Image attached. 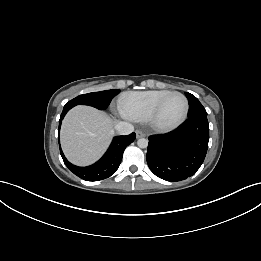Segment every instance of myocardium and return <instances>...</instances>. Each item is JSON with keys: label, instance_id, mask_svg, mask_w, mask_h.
Wrapping results in <instances>:
<instances>
[{"label": "myocardium", "instance_id": "f54148a6", "mask_svg": "<svg viewBox=\"0 0 261 261\" xmlns=\"http://www.w3.org/2000/svg\"><path fill=\"white\" fill-rule=\"evenodd\" d=\"M172 95H179L183 101H184V111L181 115V117L174 123L172 124H168V125H162L159 124L156 120L158 111L161 107V105L163 104V102L170 96ZM188 111H189V101L187 99V97L179 92V91H169L168 93H166L165 95H163L155 104L154 106L151 108L146 121L148 122V124L150 125V127L156 131L159 132H168L171 130L176 129L177 127H179L187 118L188 115Z\"/></svg>", "mask_w": 261, "mask_h": 261}]
</instances>
